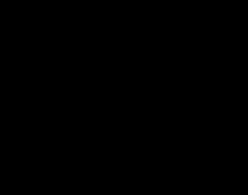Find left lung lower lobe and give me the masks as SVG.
Here are the masks:
<instances>
[{
  "label": "left lung lower lobe",
  "mask_w": 248,
  "mask_h": 195,
  "mask_svg": "<svg viewBox=\"0 0 248 195\" xmlns=\"http://www.w3.org/2000/svg\"><path fill=\"white\" fill-rule=\"evenodd\" d=\"M217 87L179 88L143 110L147 126L139 132L144 153L153 161L181 167L207 148L218 118Z\"/></svg>",
  "instance_id": "left-lung-lower-lobe-1"
}]
</instances>
